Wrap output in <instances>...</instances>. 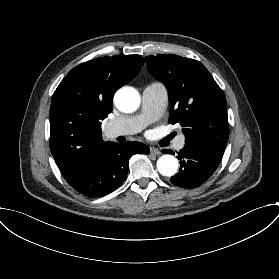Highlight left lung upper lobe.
<instances>
[{"mask_svg": "<svg viewBox=\"0 0 279 279\" xmlns=\"http://www.w3.org/2000/svg\"><path fill=\"white\" fill-rule=\"evenodd\" d=\"M146 63L169 92V122L183 127L185 143L224 150L229 137L226 99L209 71L194 59L173 54L147 56Z\"/></svg>", "mask_w": 279, "mask_h": 279, "instance_id": "5c2ea615", "label": "left lung upper lobe"}]
</instances>
